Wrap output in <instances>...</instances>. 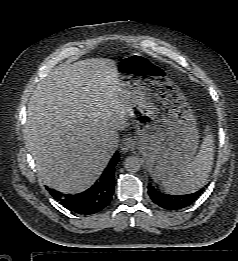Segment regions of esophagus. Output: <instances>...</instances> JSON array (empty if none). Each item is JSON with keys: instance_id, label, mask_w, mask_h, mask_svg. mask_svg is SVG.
I'll list each match as a JSON object with an SVG mask.
<instances>
[{"instance_id": "esophagus-1", "label": "esophagus", "mask_w": 238, "mask_h": 261, "mask_svg": "<svg viewBox=\"0 0 238 261\" xmlns=\"http://www.w3.org/2000/svg\"><path fill=\"white\" fill-rule=\"evenodd\" d=\"M134 147H135V141H134V139H132V138H127V139H125V140L122 142L120 148H121V150H122L123 152H127V151H130V150L134 149Z\"/></svg>"}]
</instances>
